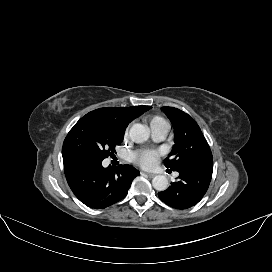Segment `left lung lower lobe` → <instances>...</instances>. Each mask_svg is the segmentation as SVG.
I'll list each match as a JSON object with an SVG mask.
<instances>
[{
    "label": "left lung lower lobe",
    "instance_id": "obj_1",
    "mask_svg": "<svg viewBox=\"0 0 272 272\" xmlns=\"http://www.w3.org/2000/svg\"><path fill=\"white\" fill-rule=\"evenodd\" d=\"M178 181L159 192V198L176 209H187L196 205L206 193L213 172V161L181 166Z\"/></svg>",
    "mask_w": 272,
    "mask_h": 272
}]
</instances>
